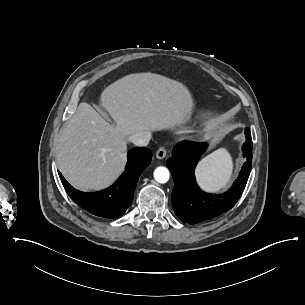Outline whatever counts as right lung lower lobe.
I'll use <instances>...</instances> for the list:
<instances>
[{"label":"right lung lower lobe","instance_id":"obj_1","mask_svg":"<svg viewBox=\"0 0 305 305\" xmlns=\"http://www.w3.org/2000/svg\"><path fill=\"white\" fill-rule=\"evenodd\" d=\"M125 171L109 188L84 193L74 189L62 176L61 182L70 198L88 212L104 217L115 218L123 215L131 205L140 174L150 164L152 154L147 148L136 147L128 152Z\"/></svg>","mask_w":305,"mask_h":305}]
</instances>
